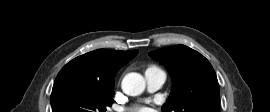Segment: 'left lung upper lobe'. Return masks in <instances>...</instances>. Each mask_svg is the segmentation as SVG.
Wrapping results in <instances>:
<instances>
[{"label":"left lung upper lobe","mask_w":270,"mask_h":112,"mask_svg":"<svg viewBox=\"0 0 270 112\" xmlns=\"http://www.w3.org/2000/svg\"><path fill=\"white\" fill-rule=\"evenodd\" d=\"M172 76V91L163 112H219L220 93L215 71L199 52L172 46L149 53Z\"/></svg>","instance_id":"obj_1"}]
</instances>
